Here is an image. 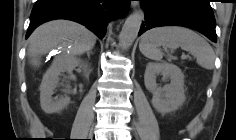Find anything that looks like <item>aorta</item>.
Listing matches in <instances>:
<instances>
[{
	"instance_id": "obj_1",
	"label": "aorta",
	"mask_w": 236,
	"mask_h": 140,
	"mask_svg": "<svg viewBox=\"0 0 236 140\" xmlns=\"http://www.w3.org/2000/svg\"><path fill=\"white\" fill-rule=\"evenodd\" d=\"M143 20L144 12L142 10L134 11L126 19L119 35V43L123 49H127L133 44Z\"/></svg>"
}]
</instances>
